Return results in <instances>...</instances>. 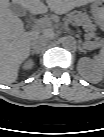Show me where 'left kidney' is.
Here are the masks:
<instances>
[{
	"instance_id": "obj_1",
	"label": "left kidney",
	"mask_w": 104,
	"mask_h": 137,
	"mask_svg": "<svg viewBox=\"0 0 104 137\" xmlns=\"http://www.w3.org/2000/svg\"><path fill=\"white\" fill-rule=\"evenodd\" d=\"M80 72L94 82L100 81L103 77V62H95L83 57L78 62Z\"/></svg>"
}]
</instances>
